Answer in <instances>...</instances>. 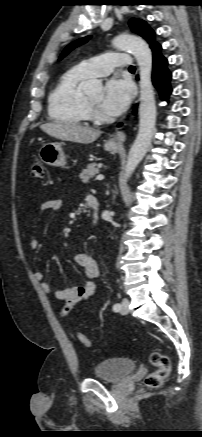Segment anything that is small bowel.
I'll return each mask as SVG.
<instances>
[{"instance_id": "1", "label": "small bowel", "mask_w": 202, "mask_h": 437, "mask_svg": "<svg viewBox=\"0 0 202 437\" xmlns=\"http://www.w3.org/2000/svg\"><path fill=\"white\" fill-rule=\"evenodd\" d=\"M63 206L61 200H48L41 204V212L48 210L59 211ZM30 247L35 250L39 247V241L36 237H32ZM75 263L82 269L84 275L88 279L82 285L71 287H52L51 284L44 281V273L35 271L34 277L41 283V288L46 293H52L57 300L64 301V306L61 309V315H68L74 306L82 300H88L94 293L96 285L94 279L99 275V266L97 261L87 253H78L74 256Z\"/></svg>"}]
</instances>
